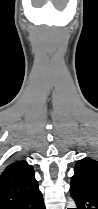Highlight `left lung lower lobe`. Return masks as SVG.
<instances>
[{
	"label": "left lung lower lobe",
	"mask_w": 98,
	"mask_h": 209,
	"mask_svg": "<svg viewBox=\"0 0 98 209\" xmlns=\"http://www.w3.org/2000/svg\"><path fill=\"white\" fill-rule=\"evenodd\" d=\"M70 193L76 209H98V196L92 192L70 185Z\"/></svg>",
	"instance_id": "obj_1"
}]
</instances>
